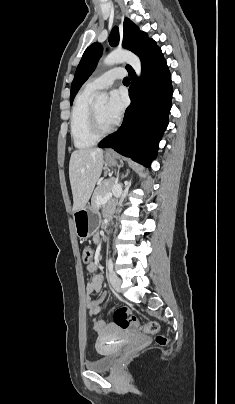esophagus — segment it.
<instances>
[{"instance_id": "1", "label": "esophagus", "mask_w": 235, "mask_h": 404, "mask_svg": "<svg viewBox=\"0 0 235 404\" xmlns=\"http://www.w3.org/2000/svg\"><path fill=\"white\" fill-rule=\"evenodd\" d=\"M105 153L106 155H110L114 153V150L112 148H108Z\"/></svg>"}]
</instances>
